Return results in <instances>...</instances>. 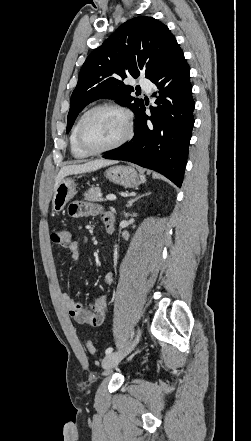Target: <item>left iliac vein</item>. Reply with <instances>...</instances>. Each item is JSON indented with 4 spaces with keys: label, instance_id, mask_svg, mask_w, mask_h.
<instances>
[{
    "label": "left iliac vein",
    "instance_id": "left-iliac-vein-1",
    "mask_svg": "<svg viewBox=\"0 0 251 441\" xmlns=\"http://www.w3.org/2000/svg\"><path fill=\"white\" fill-rule=\"evenodd\" d=\"M140 335H141V332H140V329H138L137 337L131 346H129L128 348H126L123 351H118V352H114V353H110V354L106 355L104 357V359L102 360V368L104 370H110L113 367L117 366L119 364V362L127 354H129L134 349V347L137 345L139 338H140Z\"/></svg>",
    "mask_w": 251,
    "mask_h": 441
}]
</instances>
